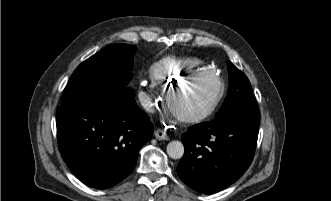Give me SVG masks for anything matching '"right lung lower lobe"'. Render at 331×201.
<instances>
[{
  "mask_svg": "<svg viewBox=\"0 0 331 201\" xmlns=\"http://www.w3.org/2000/svg\"><path fill=\"white\" fill-rule=\"evenodd\" d=\"M56 125L64 161L82 182L98 189L113 187L132 172L153 133L129 87L61 106Z\"/></svg>",
  "mask_w": 331,
  "mask_h": 201,
  "instance_id": "obj_1",
  "label": "right lung lower lobe"
}]
</instances>
